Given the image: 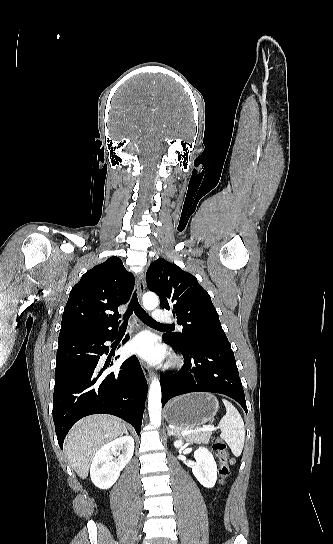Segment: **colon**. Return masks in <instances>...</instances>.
I'll use <instances>...</instances> for the list:
<instances>
[{"label": "colon", "mask_w": 333, "mask_h": 544, "mask_svg": "<svg viewBox=\"0 0 333 544\" xmlns=\"http://www.w3.org/2000/svg\"><path fill=\"white\" fill-rule=\"evenodd\" d=\"M213 449L218 454L220 468V480L219 488L223 487L226 483V480L230 474V465L228 461V447L224 440L217 438L213 443Z\"/></svg>", "instance_id": "1"}]
</instances>
